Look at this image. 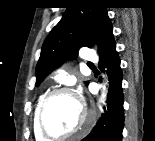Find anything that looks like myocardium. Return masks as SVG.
<instances>
[{"instance_id": "1", "label": "myocardium", "mask_w": 155, "mask_h": 141, "mask_svg": "<svg viewBox=\"0 0 155 141\" xmlns=\"http://www.w3.org/2000/svg\"><path fill=\"white\" fill-rule=\"evenodd\" d=\"M59 94H68V95H73L70 89L65 88V87H58L54 88L50 91H48L41 99L38 111H37V125L39 132L45 139H66L69 137L76 136L79 134L81 131L85 130L89 124H90V117L88 115V112L84 105L81 104L82 112H83V117L81 123L74 128L73 130L62 133V134H54L50 132L46 125H45V114H46V108L51 100L52 97L59 95Z\"/></svg>"}]
</instances>
